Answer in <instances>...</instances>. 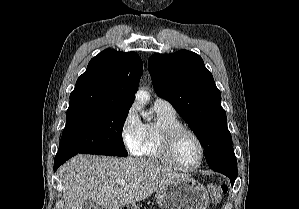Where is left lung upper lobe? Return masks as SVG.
Instances as JSON below:
<instances>
[{
    "instance_id": "5c2ea615",
    "label": "left lung upper lobe",
    "mask_w": 299,
    "mask_h": 209,
    "mask_svg": "<svg viewBox=\"0 0 299 209\" xmlns=\"http://www.w3.org/2000/svg\"><path fill=\"white\" fill-rule=\"evenodd\" d=\"M148 69L159 97L169 101L187 122L205 150L209 167L232 149L221 93L202 58L181 50L154 54Z\"/></svg>"
}]
</instances>
